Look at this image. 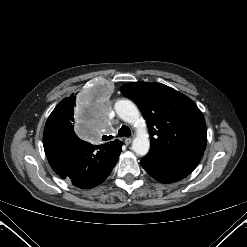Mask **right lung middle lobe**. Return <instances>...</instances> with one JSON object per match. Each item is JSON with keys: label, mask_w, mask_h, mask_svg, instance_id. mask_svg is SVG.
<instances>
[{"label": "right lung middle lobe", "mask_w": 247, "mask_h": 247, "mask_svg": "<svg viewBox=\"0 0 247 247\" xmlns=\"http://www.w3.org/2000/svg\"><path fill=\"white\" fill-rule=\"evenodd\" d=\"M73 103H68L59 108H55L53 112L50 114L47 121L49 122H57L67 126L74 128V118L72 115Z\"/></svg>", "instance_id": "right-lung-middle-lobe-1"}]
</instances>
